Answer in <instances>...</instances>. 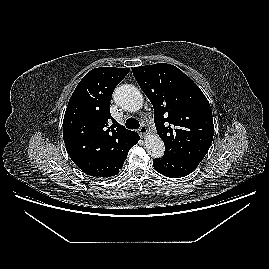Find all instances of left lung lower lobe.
Masks as SVG:
<instances>
[{
  "mask_svg": "<svg viewBox=\"0 0 269 269\" xmlns=\"http://www.w3.org/2000/svg\"><path fill=\"white\" fill-rule=\"evenodd\" d=\"M196 160L176 159L168 156H163L153 160L155 170L166 177L179 178L192 173L199 165Z\"/></svg>",
  "mask_w": 269,
  "mask_h": 269,
  "instance_id": "left-lung-lower-lobe-1",
  "label": "left lung lower lobe"
}]
</instances>
